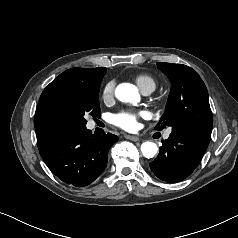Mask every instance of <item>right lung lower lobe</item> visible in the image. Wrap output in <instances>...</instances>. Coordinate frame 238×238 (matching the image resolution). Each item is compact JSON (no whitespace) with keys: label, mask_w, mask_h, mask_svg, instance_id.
<instances>
[{"label":"right lung lower lobe","mask_w":238,"mask_h":238,"mask_svg":"<svg viewBox=\"0 0 238 238\" xmlns=\"http://www.w3.org/2000/svg\"><path fill=\"white\" fill-rule=\"evenodd\" d=\"M113 134L97 136L84 127L66 126L37 137L41 157L52 173L67 184L83 187L105 169Z\"/></svg>","instance_id":"1"}]
</instances>
